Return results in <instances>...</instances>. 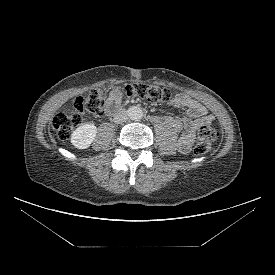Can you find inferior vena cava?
Listing matches in <instances>:
<instances>
[{"instance_id":"602c4592","label":"inferior vena cava","mask_w":275,"mask_h":275,"mask_svg":"<svg viewBox=\"0 0 275 275\" xmlns=\"http://www.w3.org/2000/svg\"><path fill=\"white\" fill-rule=\"evenodd\" d=\"M127 119H128V112L123 110V111H120L118 114H116L113 120L115 123L119 124L127 121Z\"/></svg>"}]
</instances>
